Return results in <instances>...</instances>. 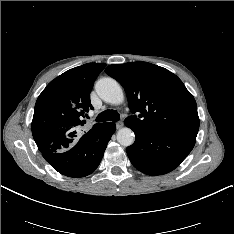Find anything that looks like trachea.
<instances>
[{"label":"trachea","instance_id":"3493384b","mask_svg":"<svg viewBox=\"0 0 234 234\" xmlns=\"http://www.w3.org/2000/svg\"><path fill=\"white\" fill-rule=\"evenodd\" d=\"M119 119H120V115L117 111L105 110L97 116L96 121L97 122H105V121L117 122L119 121Z\"/></svg>","mask_w":234,"mask_h":234}]
</instances>
